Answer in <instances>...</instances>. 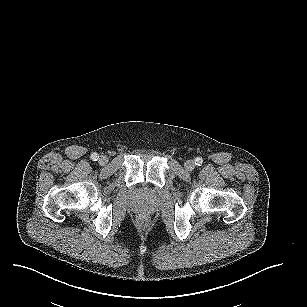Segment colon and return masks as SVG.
<instances>
[{
	"instance_id": "5ec220e1",
	"label": "colon",
	"mask_w": 307,
	"mask_h": 307,
	"mask_svg": "<svg viewBox=\"0 0 307 307\" xmlns=\"http://www.w3.org/2000/svg\"><path fill=\"white\" fill-rule=\"evenodd\" d=\"M138 221H139V224L145 225L147 223V217L145 215H142L139 217Z\"/></svg>"
}]
</instances>
